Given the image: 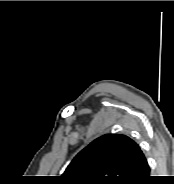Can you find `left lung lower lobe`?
<instances>
[{"label":"left lung lower lobe","mask_w":174,"mask_h":184,"mask_svg":"<svg viewBox=\"0 0 174 184\" xmlns=\"http://www.w3.org/2000/svg\"><path fill=\"white\" fill-rule=\"evenodd\" d=\"M148 163L140 150L133 166L132 176L126 184H147L150 180Z\"/></svg>","instance_id":"left-lung-lower-lobe-1"}]
</instances>
